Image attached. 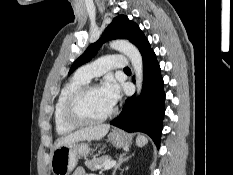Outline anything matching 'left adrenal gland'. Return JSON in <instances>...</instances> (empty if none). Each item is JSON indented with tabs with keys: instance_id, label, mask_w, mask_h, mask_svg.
Masks as SVG:
<instances>
[{
	"instance_id": "left-adrenal-gland-1",
	"label": "left adrenal gland",
	"mask_w": 233,
	"mask_h": 175,
	"mask_svg": "<svg viewBox=\"0 0 233 175\" xmlns=\"http://www.w3.org/2000/svg\"><path fill=\"white\" fill-rule=\"evenodd\" d=\"M129 158H131V156H126L125 154L122 155V156L119 158L118 163L115 165L112 175H115L116 170L121 166V164H122L123 162L128 161Z\"/></svg>"
}]
</instances>
